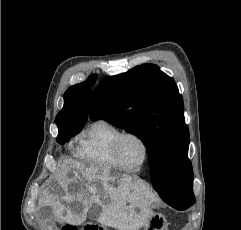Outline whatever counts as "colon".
<instances>
[{"instance_id":"1","label":"colon","mask_w":241,"mask_h":230,"mask_svg":"<svg viewBox=\"0 0 241 230\" xmlns=\"http://www.w3.org/2000/svg\"><path fill=\"white\" fill-rule=\"evenodd\" d=\"M62 230H77V229L73 226H65L62 228Z\"/></svg>"}]
</instances>
